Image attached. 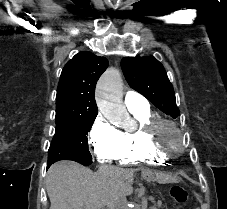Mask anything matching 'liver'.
<instances>
[{"label":"liver","mask_w":227,"mask_h":209,"mask_svg":"<svg viewBox=\"0 0 227 209\" xmlns=\"http://www.w3.org/2000/svg\"><path fill=\"white\" fill-rule=\"evenodd\" d=\"M131 175L107 165L92 173L73 161H59L46 177L50 209H103L109 203L113 179L125 181Z\"/></svg>","instance_id":"1"}]
</instances>
